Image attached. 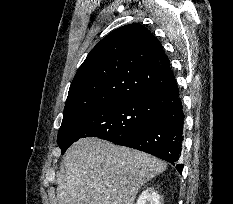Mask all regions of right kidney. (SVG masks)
<instances>
[{
  "label": "right kidney",
  "mask_w": 233,
  "mask_h": 204,
  "mask_svg": "<svg viewBox=\"0 0 233 204\" xmlns=\"http://www.w3.org/2000/svg\"><path fill=\"white\" fill-rule=\"evenodd\" d=\"M136 204H161L160 196L153 188H149L141 193Z\"/></svg>",
  "instance_id": "ca27d5eb"
}]
</instances>
